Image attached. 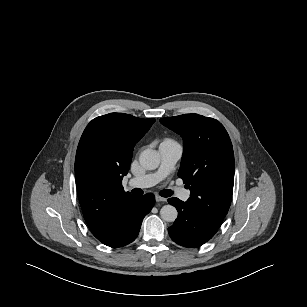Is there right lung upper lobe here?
Returning <instances> with one entry per match:
<instances>
[{
	"mask_svg": "<svg viewBox=\"0 0 307 307\" xmlns=\"http://www.w3.org/2000/svg\"><path fill=\"white\" fill-rule=\"evenodd\" d=\"M154 118L110 113L85 128L75 158V180L85 221L102 243L116 239L139 196L125 192L122 179L129 170L135 144Z\"/></svg>",
	"mask_w": 307,
	"mask_h": 307,
	"instance_id": "cb5924a9",
	"label": "right lung upper lobe"
}]
</instances>
